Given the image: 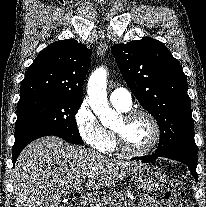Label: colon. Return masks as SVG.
<instances>
[{
  "label": "colon",
  "instance_id": "obj_1",
  "mask_svg": "<svg viewBox=\"0 0 206 207\" xmlns=\"http://www.w3.org/2000/svg\"><path fill=\"white\" fill-rule=\"evenodd\" d=\"M185 190L179 178H173L164 192V199L168 207H184ZM64 207H76L75 201Z\"/></svg>",
  "mask_w": 206,
  "mask_h": 207
}]
</instances>
